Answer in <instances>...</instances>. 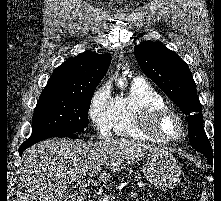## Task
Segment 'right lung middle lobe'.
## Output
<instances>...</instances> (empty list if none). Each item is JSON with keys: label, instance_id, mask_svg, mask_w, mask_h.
Here are the masks:
<instances>
[{"label": "right lung middle lobe", "instance_id": "obj_1", "mask_svg": "<svg viewBox=\"0 0 221 201\" xmlns=\"http://www.w3.org/2000/svg\"><path fill=\"white\" fill-rule=\"evenodd\" d=\"M94 91L67 93L43 90L32 119V134L83 132L88 126V109Z\"/></svg>", "mask_w": 221, "mask_h": 201}]
</instances>
